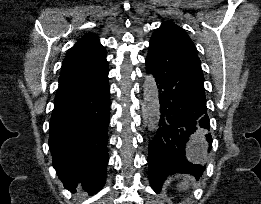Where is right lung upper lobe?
I'll use <instances>...</instances> for the list:
<instances>
[{
	"label": "right lung upper lobe",
	"mask_w": 261,
	"mask_h": 204,
	"mask_svg": "<svg viewBox=\"0 0 261 204\" xmlns=\"http://www.w3.org/2000/svg\"><path fill=\"white\" fill-rule=\"evenodd\" d=\"M106 60V50L100 44L98 36L87 34L80 38L65 57L62 74L86 69Z\"/></svg>",
	"instance_id": "right-lung-upper-lobe-1"
}]
</instances>
